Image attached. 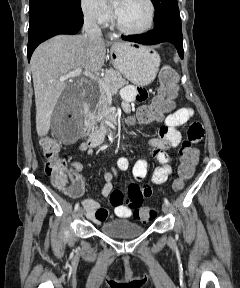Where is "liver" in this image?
<instances>
[{
  "mask_svg": "<svg viewBox=\"0 0 240 288\" xmlns=\"http://www.w3.org/2000/svg\"><path fill=\"white\" fill-rule=\"evenodd\" d=\"M106 43L82 35H57L40 44L31 58L36 104V130L39 137L48 134L52 112L66 88L60 77L84 68L98 72L104 65Z\"/></svg>",
  "mask_w": 240,
  "mask_h": 288,
  "instance_id": "1",
  "label": "liver"
}]
</instances>
